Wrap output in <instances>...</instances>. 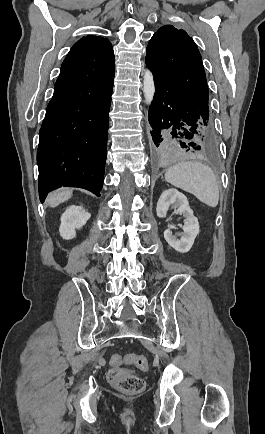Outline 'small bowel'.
<instances>
[{"label":"small bowel","mask_w":265,"mask_h":434,"mask_svg":"<svg viewBox=\"0 0 265 434\" xmlns=\"http://www.w3.org/2000/svg\"><path fill=\"white\" fill-rule=\"evenodd\" d=\"M109 364H110V366H115L116 364L110 359V362H109ZM119 365V364H118Z\"/></svg>","instance_id":"small-bowel-1"}]
</instances>
